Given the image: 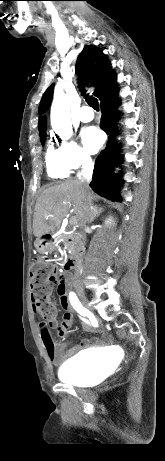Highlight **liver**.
<instances>
[{
	"instance_id": "1",
	"label": "liver",
	"mask_w": 165,
	"mask_h": 461,
	"mask_svg": "<svg viewBox=\"0 0 165 461\" xmlns=\"http://www.w3.org/2000/svg\"><path fill=\"white\" fill-rule=\"evenodd\" d=\"M69 212H73L82 224L86 214V195L79 180H66L42 192L35 206L34 235L40 239L48 234Z\"/></svg>"
}]
</instances>
